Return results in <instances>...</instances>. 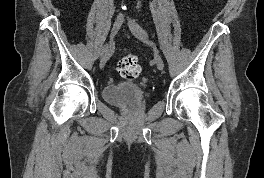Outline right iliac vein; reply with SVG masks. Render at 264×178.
I'll return each instance as SVG.
<instances>
[{"label":"right iliac vein","mask_w":264,"mask_h":178,"mask_svg":"<svg viewBox=\"0 0 264 178\" xmlns=\"http://www.w3.org/2000/svg\"><path fill=\"white\" fill-rule=\"evenodd\" d=\"M123 22H124V16L122 14H119L116 17L115 22H114L113 27H112V30H111V35H110L111 39L117 34V32L121 28ZM108 58H109V55L106 51L100 60V65H99L100 68H103L105 66Z\"/></svg>","instance_id":"obj_1"}]
</instances>
